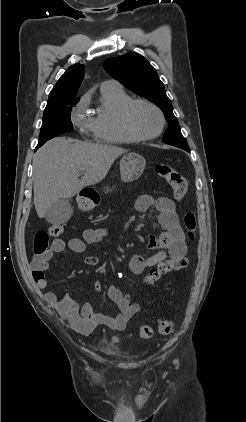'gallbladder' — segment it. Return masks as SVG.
I'll return each mask as SVG.
<instances>
[{
    "label": "gallbladder",
    "mask_w": 246,
    "mask_h": 422,
    "mask_svg": "<svg viewBox=\"0 0 246 422\" xmlns=\"http://www.w3.org/2000/svg\"><path fill=\"white\" fill-rule=\"evenodd\" d=\"M72 206L67 198H60L46 212V220L55 225L66 223L72 216Z\"/></svg>",
    "instance_id": "bac80fb5"
}]
</instances>
